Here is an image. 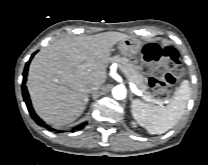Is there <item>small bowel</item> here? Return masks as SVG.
Wrapping results in <instances>:
<instances>
[{
	"mask_svg": "<svg viewBox=\"0 0 208 165\" xmlns=\"http://www.w3.org/2000/svg\"><path fill=\"white\" fill-rule=\"evenodd\" d=\"M124 59H125L126 63L129 64L130 67L135 70L140 69L142 66L141 60L136 58V56L131 52L126 53L124 56Z\"/></svg>",
	"mask_w": 208,
	"mask_h": 165,
	"instance_id": "1",
	"label": "small bowel"
}]
</instances>
